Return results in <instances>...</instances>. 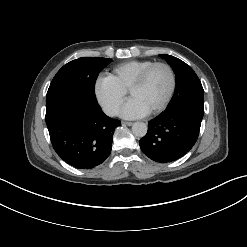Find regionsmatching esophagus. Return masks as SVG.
<instances>
[{
	"mask_svg": "<svg viewBox=\"0 0 247 247\" xmlns=\"http://www.w3.org/2000/svg\"><path fill=\"white\" fill-rule=\"evenodd\" d=\"M122 124L123 125H127V126L133 125V123L132 122H129V121H122Z\"/></svg>",
	"mask_w": 247,
	"mask_h": 247,
	"instance_id": "esophagus-1",
	"label": "esophagus"
}]
</instances>
